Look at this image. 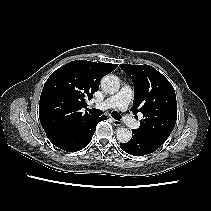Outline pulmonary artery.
<instances>
[{
  "mask_svg": "<svg viewBox=\"0 0 211 211\" xmlns=\"http://www.w3.org/2000/svg\"><path fill=\"white\" fill-rule=\"evenodd\" d=\"M132 97V89L129 86L125 85L120 89L117 94L109 97L101 103H96L93 106L97 109L102 110L117 108L121 111H126L129 107ZM124 121L131 128H137L139 126V122L132 118L130 115H126Z\"/></svg>",
  "mask_w": 211,
  "mask_h": 211,
  "instance_id": "pulmonary-artery-1",
  "label": "pulmonary artery"
}]
</instances>
